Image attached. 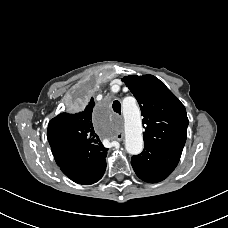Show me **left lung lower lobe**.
<instances>
[{
  "mask_svg": "<svg viewBox=\"0 0 228 228\" xmlns=\"http://www.w3.org/2000/svg\"><path fill=\"white\" fill-rule=\"evenodd\" d=\"M182 151L144 145L141 154L133 156L131 164L137 176L145 182L156 183L167 178L177 166Z\"/></svg>",
  "mask_w": 228,
  "mask_h": 228,
  "instance_id": "1",
  "label": "left lung lower lobe"
}]
</instances>
